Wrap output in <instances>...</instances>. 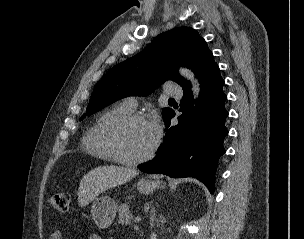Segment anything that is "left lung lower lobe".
<instances>
[{"instance_id": "left-lung-lower-lobe-1", "label": "left lung lower lobe", "mask_w": 304, "mask_h": 239, "mask_svg": "<svg viewBox=\"0 0 304 239\" xmlns=\"http://www.w3.org/2000/svg\"><path fill=\"white\" fill-rule=\"evenodd\" d=\"M201 86L196 107H192L190 85L183 88L178 124L170 126L175 112L166 118L164 142L155 158L139 166L145 173L165 174L170 177H195L214 192L218 160L225 153L223 140L228 134L225 120L227 96L223 92L224 80L211 54L198 74Z\"/></svg>"}]
</instances>
